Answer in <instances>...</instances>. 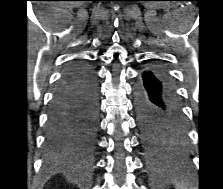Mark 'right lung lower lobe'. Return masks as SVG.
Listing matches in <instances>:
<instances>
[{
    "mask_svg": "<svg viewBox=\"0 0 223 189\" xmlns=\"http://www.w3.org/2000/svg\"><path fill=\"white\" fill-rule=\"evenodd\" d=\"M98 122V87L93 68L78 60L64 71L54 92L46 146L53 153L86 152Z\"/></svg>",
    "mask_w": 223,
    "mask_h": 189,
    "instance_id": "right-lung-lower-lobe-1",
    "label": "right lung lower lobe"
}]
</instances>
